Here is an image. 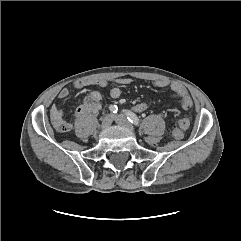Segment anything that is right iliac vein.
<instances>
[{
    "mask_svg": "<svg viewBox=\"0 0 241 241\" xmlns=\"http://www.w3.org/2000/svg\"><path fill=\"white\" fill-rule=\"evenodd\" d=\"M112 121H113V115H111V114L105 115L102 119L101 127L102 128L109 127L111 125Z\"/></svg>",
    "mask_w": 241,
    "mask_h": 241,
    "instance_id": "63e3f726",
    "label": "right iliac vein"
}]
</instances>
